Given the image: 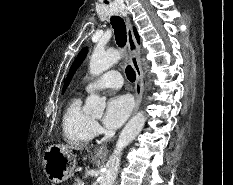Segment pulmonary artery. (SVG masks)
I'll return each mask as SVG.
<instances>
[{"instance_id": "pulmonary-artery-1", "label": "pulmonary artery", "mask_w": 233, "mask_h": 185, "mask_svg": "<svg viewBox=\"0 0 233 185\" xmlns=\"http://www.w3.org/2000/svg\"><path fill=\"white\" fill-rule=\"evenodd\" d=\"M122 85V76L117 70H109L99 76L97 79L89 82L85 90L92 92L104 88H120Z\"/></svg>"}]
</instances>
